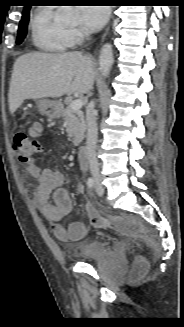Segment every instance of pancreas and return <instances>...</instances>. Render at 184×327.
<instances>
[{
  "label": "pancreas",
  "instance_id": "cf45deb5",
  "mask_svg": "<svg viewBox=\"0 0 184 327\" xmlns=\"http://www.w3.org/2000/svg\"><path fill=\"white\" fill-rule=\"evenodd\" d=\"M67 104L71 103V98L67 99ZM64 125L68 136L72 138L75 146H78L85 136L86 124L84 114L81 110L74 111L69 106L62 112Z\"/></svg>",
  "mask_w": 184,
  "mask_h": 327
}]
</instances>
